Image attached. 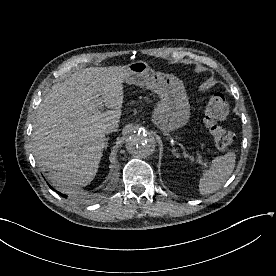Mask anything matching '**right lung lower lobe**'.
<instances>
[{"mask_svg": "<svg viewBox=\"0 0 276 276\" xmlns=\"http://www.w3.org/2000/svg\"><path fill=\"white\" fill-rule=\"evenodd\" d=\"M50 188H52L51 186H50ZM53 189V188H52ZM57 192V191H56ZM59 195H61V196H63V197H67L66 195H64V194H61V193H59V192H57Z\"/></svg>", "mask_w": 276, "mask_h": 276, "instance_id": "obj_1", "label": "right lung lower lobe"}]
</instances>
